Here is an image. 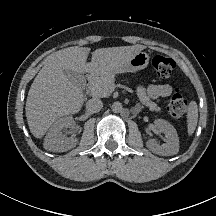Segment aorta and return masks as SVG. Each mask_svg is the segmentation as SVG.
<instances>
[{
	"label": "aorta",
	"mask_w": 216,
	"mask_h": 216,
	"mask_svg": "<svg viewBox=\"0 0 216 216\" xmlns=\"http://www.w3.org/2000/svg\"><path fill=\"white\" fill-rule=\"evenodd\" d=\"M122 109H123V106L120 102H114L112 104V111L114 113H120L122 111Z\"/></svg>",
	"instance_id": "1"
}]
</instances>
